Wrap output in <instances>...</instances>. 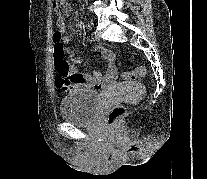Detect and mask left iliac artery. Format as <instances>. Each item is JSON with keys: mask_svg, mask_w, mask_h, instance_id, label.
Instances as JSON below:
<instances>
[{"mask_svg": "<svg viewBox=\"0 0 207 179\" xmlns=\"http://www.w3.org/2000/svg\"><path fill=\"white\" fill-rule=\"evenodd\" d=\"M87 28H90V23H87Z\"/></svg>", "mask_w": 207, "mask_h": 179, "instance_id": "1", "label": "left iliac artery"}]
</instances>
